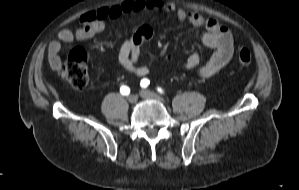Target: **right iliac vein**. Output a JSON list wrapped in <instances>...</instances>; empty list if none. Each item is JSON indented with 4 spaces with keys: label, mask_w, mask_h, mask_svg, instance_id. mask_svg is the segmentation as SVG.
Segmentation results:
<instances>
[{
    "label": "right iliac vein",
    "mask_w": 299,
    "mask_h": 190,
    "mask_svg": "<svg viewBox=\"0 0 299 190\" xmlns=\"http://www.w3.org/2000/svg\"><path fill=\"white\" fill-rule=\"evenodd\" d=\"M128 101H129V103H131V104H135V103L137 102V96L134 95V94L129 95V96H128Z\"/></svg>",
    "instance_id": "63e3f726"
}]
</instances>
